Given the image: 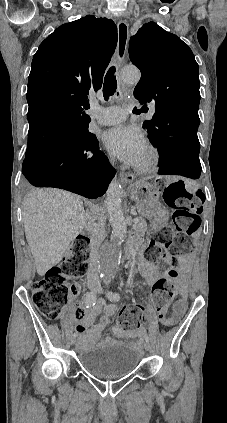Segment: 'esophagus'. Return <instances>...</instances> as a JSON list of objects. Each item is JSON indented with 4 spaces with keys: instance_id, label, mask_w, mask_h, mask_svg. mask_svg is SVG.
I'll return each mask as SVG.
<instances>
[{
    "instance_id": "1",
    "label": "esophagus",
    "mask_w": 227,
    "mask_h": 423,
    "mask_svg": "<svg viewBox=\"0 0 227 423\" xmlns=\"http://www.w3.org/2000/svg\"><path fill=\"white\" fill-rule=\"evenodd\" d=\"M118 30V42H117V61L122 63L127 50V43L129 39V26L125 20H119L117 24ZM120 181L122 183L132 182L135 176L130 173L121 172L119 174Z\"/></svg>"
}]
</instances>
